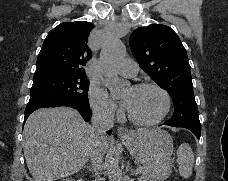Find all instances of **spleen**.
I'll return each instance as SVG.
<instances>
[{
	"mask_svg": "<svg viewBox=\"0 0 228 181\" xmlns=\"http://www.w3.org/2000/svg\"><path fill=\"white\" fill-rule=\"evenodd\" d=\"M177 159L179 161V175L183 179H189L194 167L193 151L188 143H182L177 149Z\"/></svg>",
	"mask_w": 228,
	"mask_h": 181,
	"instance_id": "spleen-1",
	"label": "spleen"
}]
</instances>
